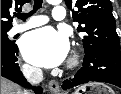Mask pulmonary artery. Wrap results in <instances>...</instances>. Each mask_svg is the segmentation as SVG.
Instances as JSON below:
<instances>
[{
  "instance_id": "pulmonary-artery-1",
  "label": "pulmonary artery",
  "mask_w": 121,
  "mask_h": 94,
  "mask_svg": "<svg viewBox=\"0 0 121 94\" xmlns=\"http://www.w3.org/2000/svg\"><path fill=\"white\" fill-rule=\"evenodd\" d=\"M52 18L56 21H63L66 18V10L63 6H55L52 11ZM48 18L44 15L31 16L25 23L14 25L10 33L17 34L19 32L26 31L28 29L45 24Z\"/></svg>"
}]
</instances>
